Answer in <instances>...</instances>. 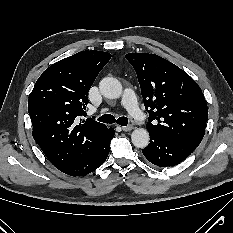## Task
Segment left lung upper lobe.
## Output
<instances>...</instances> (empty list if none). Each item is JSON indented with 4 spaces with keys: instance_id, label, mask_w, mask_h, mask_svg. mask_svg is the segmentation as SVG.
<instances>
[{
    "instance_id": "left-lung-upper-lobe-1",
    "label": "left lung upper lobe",
    "mask_w": 233,
    "mask_h": 233,
    "mask_svg": "<svg viewBox=\"0 0 233 233\" xmlns=\"http://www.w3.org/2000/svg\"><path fill=\"white\" fill-rule=\"evenodd\" d=\"M149 112V132L198 146L208 117L205 98L197 83L166 59L149 53H129Z\"/></svg>"
}]
</instances>
